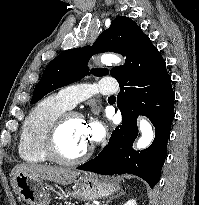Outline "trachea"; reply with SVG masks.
Masks as SVG:
<instances>
[{
	"label": "trachea",
	"instance_id": "trachea-1",
	"mask_svg": "<svg viewBox=\"0 0 199 205\" xmlns=\"http://www.w3.org/2000/svg\"><path fill=\"white\" fill-rule=\"evenodd\" d=\"M110 98H115V96H110Z\"/></svg>",
	"mask_w": 199,
	"mask_h": 205
}]
</instances>
